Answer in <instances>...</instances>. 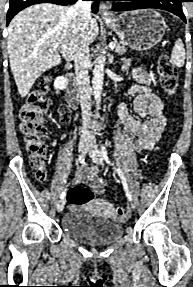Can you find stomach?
Masks as SVG:
<instances>
[{
    "label": "stomach",
    "instance_id": "1",
    "mask_svg": "<svg viewBox=\"0 0 193 287\" xmlns=\"http://www.w3.org/2000/svg\"><path fill=\"white\" fill-rule=\"evenodd\" d=\"M105 23L128 46L138 51L155 46L167 28L161 14L152 9L125 12Z\"/></svg>",
    "mask_w": 193,
    "mask_h": 287
}]
</instances>
